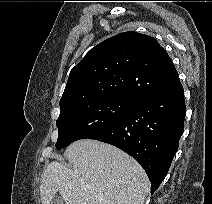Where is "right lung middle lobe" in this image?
<instances>
[{"label":"right lung middle lobe","mask_w":212,"mask_h":204,"mask_svg":"<svg viewBox=\"0 0 212 204\" xmlns=\"http://www.w3.org/2000/svg\"><path fill=\"white\" fill-rule=\"evenodd\" d=\"M135 100L122 96L95 98L61 109L57 120L56 148L67 147L79 139L106 131L118 123L134 106Z\"/></svg>","instance_id":"1"}]
</instances>
